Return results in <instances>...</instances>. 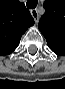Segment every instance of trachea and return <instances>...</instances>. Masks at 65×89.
Returning a JSON list of instances; mask_svg holds the SVG:
<instances>
[{"label": "trachea", "mask_w": 65, "mask_h": 89, "mask_svg": "<svg viewBox=\"0 0 65 89\" xmlns=\"http://www.w3.org/2000/svg\"><path fill=\"white\" fill-rule=\"evenodd\" d=\"M26 6L29 9H34L37 6V0H28Z\"/></svg>", "instance_id": "3493384b"}]
</instances>
